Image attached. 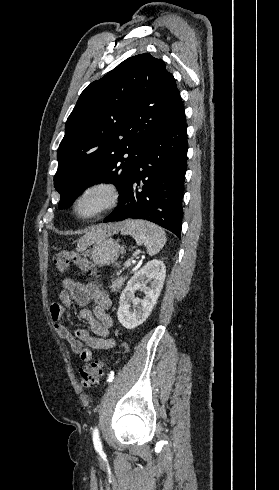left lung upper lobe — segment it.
<instances>
[{
  "instance_id": "5c2ea615",
  "label": "left lung upper lobe",
  "mask_w": 279,
  "mask_h": 490,
  "mask_svg": "<svg viewBox=\"0 0 279 490\" xmlns=\"http://www.w3.org/2000/svg\"><path fill=\"white\" fill-rule=\"evenodd\" d=\"M180 102L174 77L148 53L92 82L68 117L57 150L59 209L96 183H113L121 196L147 138Z\"/></svg>"
}]
</instances>
